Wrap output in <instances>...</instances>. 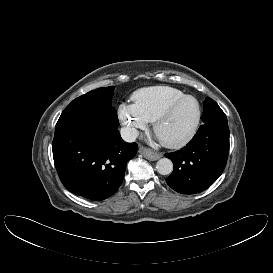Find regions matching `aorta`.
<instances>
[{
	"instance_id": "obj_1",
	"label": "aorta",
	"mask_w": 273,
	"mask_h": 273,
	"mask_svg": "<svg viewBox=\"0 0 273 273\" xmlns=\"http://www.w3.org/2000/svg\"><path fill=\"white\" fill-rule=\"evenodd\" d=\"M156 169L161 175H169L173 171V163L168 158H161L156 163Z\"/></svg>"
}]
</instances>
